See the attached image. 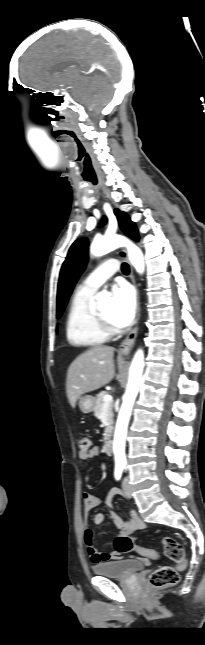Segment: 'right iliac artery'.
<instances>
[{
  "label": "right iliac artery",
  "instance_id": "1",
  "mask_svg": "<svg viewBox=\"0 0 205 645\" xmlns=\"http://www.w3.org/2000/svg\"><path fill=\"white\" fill-rule=\"evenodd\" d=\"M122 472H123V466L118 465V466L115 467V473L114 474H115L116 480H120V478L122 476Z\"/></svg>",
  "mask_w": 205,
  "mask_h": 645
}]
</instances>
